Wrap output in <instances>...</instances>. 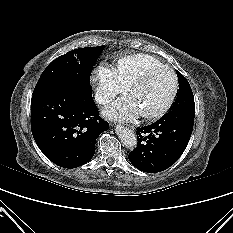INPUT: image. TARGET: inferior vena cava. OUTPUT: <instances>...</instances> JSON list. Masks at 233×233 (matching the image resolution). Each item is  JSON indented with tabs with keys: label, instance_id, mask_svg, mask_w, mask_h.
Listing matches in <instances>:
<instances>
[{
	"label": "inferior vena cava",
	"instance_id": "602c4592",
	"mask_svg": "<svg viewBox=\"0 0 233 233\" xmlns=\"http://www.w3.org/2000/svg\"><path fill=\"white\" fill-rule=\"evenodd\" d=\"M112 94L109 92L98 90L95 93V101L99 104H106L112 100Z\"/></svg>",
	"mask_w": 233,
	"mask_h": 233
}]
</instances>
